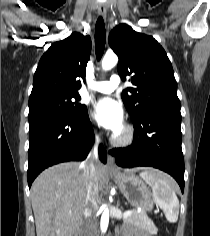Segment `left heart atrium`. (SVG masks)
Here are the masks:
<instances>
[{
	"label": "left heart atrium",
	"instance_id": "1",
	"mask_svg": "<svg viewBox=\"0 0 210 236\" xmlns=\"http://www.w3.org/2000/svg\"><path fill=\"white\" fill-rule=\"evenodd\" d=\"M93 115L103 127L114 134L124 127L123 110L117 102L110 98H103L95 103Z\"/></svg>",
	"mask_w": 210,
	"mask_h": 236
}]
</instances>
